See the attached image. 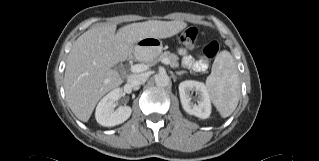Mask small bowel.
<instances>
[{"mask_svg":"<svg viewBox=\"0 0 319 161\" xmlns=\"http://www.w3.org/2000/svg\"><path fill=\"white\" fill-rule=\"evenodd\" d=\"M179 54L181 55V65L184 68H192L196 70H205L207 68V62L203 59H194L192 55L184 48L179 49Z\"/></svg>","mask_w":319,"mask_h":161,"instance_id":"obj_1","label":"small bowel"}]
</instances>
